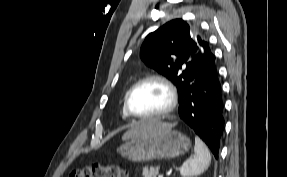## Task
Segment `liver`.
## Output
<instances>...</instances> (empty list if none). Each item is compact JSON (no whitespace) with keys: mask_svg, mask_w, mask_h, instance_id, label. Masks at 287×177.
<instances>
[{"mask_svg":"<svg viewBox=\"0 0 287 177\" xmlns=\"http://www.w3.org/2000/svg\"><path fill=\"white\" fill-rule=\"evenodd\" d=\"M175 124H169V123H164L161 122L157 119H151V120H146L139 122L136 124L133 128H131L129 131H127L122 139L126 140L135 136L143 135L149 132H153L156 130L160 129H165V128H172Z\"/></svg>","mask_w":287,"mask_h":177,"instance_id":"6515ba94","label":"liver"}]
</instances>
